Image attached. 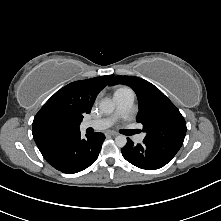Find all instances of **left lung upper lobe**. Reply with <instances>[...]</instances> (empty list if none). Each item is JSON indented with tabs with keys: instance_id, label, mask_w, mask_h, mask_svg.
Here are the masks:
<instances>
[{
	"instance_id": "1",
	"label": "left lung upper lobe",
	"mask_w": 221,
	"mask_h": 221,
	"mask_svg": "<svg viewBox=\"0 0 221 221\" xmlns=\"http://www.w3.org/2000/svg\"><path fill=\"white\" fill-rule=\"evenodd\" d=\"M126 84L137 94V122L143 124L149 141L183 144L186 122L176 106L153 84L134 76H116L111 85Z\"/></svg>"
}]
</instances>
